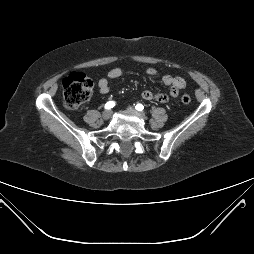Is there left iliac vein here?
I'll use <instances>...</instances> for the list:
<instances>
[{
    "mask_svg": "<svg viewBox=\"0 0 254 254\" xmlns=\"http://www.w3.org/2000/svg\"><path fill=\"white\" fill-rule=\"evenodd\" d=\"M127 110L129 111V112H132V113H134L135 115H137L139 118H141V119H146V116H145V114L143 113V112H139V111H137V110H135L133 107H131V106H129V107H127Z\"/></svg>",
    "mask_w": 254,
    "mask_h": 254,
    "instance_id": "left-iliac-vein-1",
    "label": "left iliac vein"
}]
</instances>
